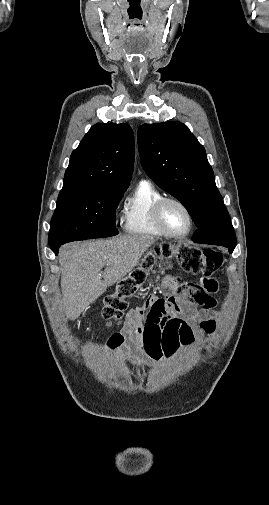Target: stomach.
Segmentation results:
<instances>
[{
    "label": "stomach",
    "mask_w": 269,
    "mask_h": 505,
    "mask_svg": "<svg viewBox=\"0 0 269 505\" xmlns=\"http://www.w3.org/2000/svg\"><path fill=\"white\" fill-rule=\"evenodd\" d=\"M157 271H155L154 273L156 274ZM159 273H163V268L161 266H159V270H158Z\"/></svg>",
    "instance_id": "0dacf381"
}]
</instances>
